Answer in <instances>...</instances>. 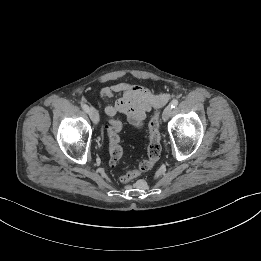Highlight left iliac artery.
<instances>
[{
	"label": "left iliac artery",
	"mask_w": 261,
	"mask_h": 261,
	"mask_svg": "<svg viewBox=\"0 0 261 261\" xmlns=\"http://www.w3.org/2000/svg\"><path fill=\"white\" fill-rule=\"evenodd\" d=\"M178 105V100L177 99H173L171 102V108H175Z\"/></svg>",
	"instance_id": "1"
}]
</instances>
